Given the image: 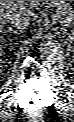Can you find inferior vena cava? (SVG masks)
<instances>
[{
  "label": "inferior vena cava",
  "mask_w": 74,
  "mask_h": 122,
  "mask_svg": "<svg viewBox=\"0 0 74 122\" xmlns=\"http://www.w3.org/2000/svg\"><path fill=\"white\" fill-rule=\"evenodd\" d=\"M29 20V16L24 12H16L8 18V22L11 26L18 29L20 32L28 28Z\"/></svg>",
  "instance_id": "602c4592"
}]
</instances>
